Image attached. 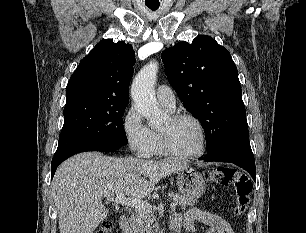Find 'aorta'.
<instances>
[{
  "label": "aorta",
  "instance_id": "762f6f07",
  "mask_svg": "<svg viewBox=\"0 0 306 233\" xmlns=\"http://www.w3.org/2000/svg\"><path fill=\"white\" fill-rule=\"evenodd\" d=\"M158 72V63L151 61L135 76L131 86V96L138 112L151 127H157L165 120V114L158 107L153 91Z\"/></svg>",
  "mask_w": 306,
  "mask_h": 233
}]
</instances>
